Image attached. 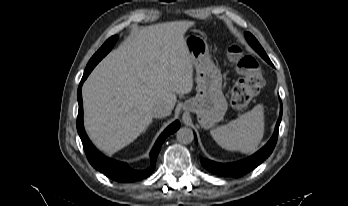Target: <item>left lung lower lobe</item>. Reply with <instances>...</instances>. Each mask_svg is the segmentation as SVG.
Returning <instances> with one entry per match:
<instances>
[{
  "instance_id": "left-lung-lower-lobe-1",
  "label": "left lung lower lobe",
  "mask_w": 348,
  "mask_h": 206,
  "mask_svg": "<svg viewBox=\"0 0 348 206\" xmlns=\"http://www.w3.org/2000/svg\"><path fill=\"white\" fill-rule=\"evenodd\" d=\"M281 117H282V104H281L280 116L277 121L276 128L272 138L262 149H260L258 152H256L252 156L242 161L228 163V164L216 163L210 160H205L203 158H200L201 164L208 171L221 176L240 177L248 173L249 171L255 169L272 153L277 141ZM194 137H195V141L197 142L195 135Z\"/></svg>"
}]
</instances>
